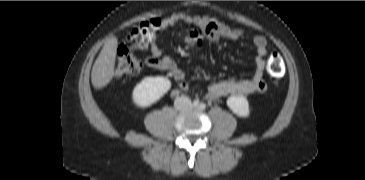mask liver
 <instances>
[{
    "instance_id": "obj_1",
    "label": "liver",
    "mask_w": 365,
    "mask_h": 180,
    "mask_svg": "<svg viewBox=\"0 0 365 180\" xmlns=\"http://www.w3.org/2000/svg\"><path fill=\"white\" fill-rule=\"evenodd\" d=\"M118 48L117 37L110 38L103 46L91 72V82L94 88L101 89L107 86L113 76L116 52Z\"/></svg>"
}]
</instances>
